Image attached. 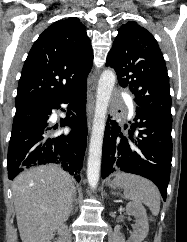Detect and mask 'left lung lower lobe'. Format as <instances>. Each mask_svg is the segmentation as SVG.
Here are the masks:
<instances>
[{"mask_svg":"<svg viewBox=\"0 0 187 242\" xmlns=\"http://www.w3.org/2000/svg\"><path fill=\"white\" fill-rule=\"evenodd\" d=\"M129 136L116 121H108L102 150V178L115 171L150 179L166 200L172 160V116L136 107ZM126 128V127H125Z\"/></svg>","mask_w":187,"mask_h":242,"instance_id":"left-lung-lower-lobe-1","label":"left lung lower lobe"}]
</instances>
